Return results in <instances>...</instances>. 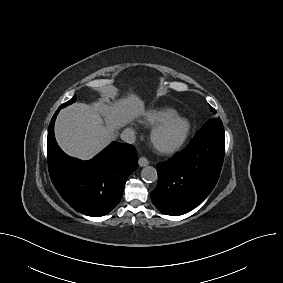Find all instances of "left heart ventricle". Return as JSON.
Returning a JSON list of instances; mask_svg holds the SVG:
<instances>
[{"label": "left heart ventricle", "instance_id": "left-heart-ventricle-1", "mask_svg": "<svg viewBox=\"0 0 283 283\" xmlns=\"http://www.w3.org/2000/svg\"><path fill=\"white\" fill-rule=\"evenodd\" d=\"M181 126L177 123L169 125L164 129L157 137V143L159 145H167L172 143L180 135Z\"/></svg>", "mask_w": 283, "mask_h": 283}]
</instances>
